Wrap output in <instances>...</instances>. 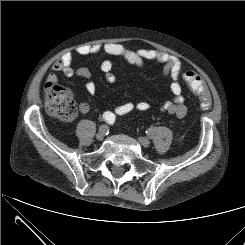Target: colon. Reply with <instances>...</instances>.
<instances>
[{
    "label": "colon",
    "mask_w": 245,
    "mask_h": 245,
    "mask_svg": "<svg viewBox=\"0 0 245 245\" xmlns=\"http://www.w3.org/2000/svg\"><path fill=\"white\" fill-rule=\"evenodd\" d=\"M185 80L191 91L199 97L203 108L210 106V94L202 77L194 72L187 71ZM47 111L64 121H70L77 115V104L70 90L56 83H47L46 86Z\"/></svg>",
    "instance_id": "5ec220e1"
}]
</instances>
